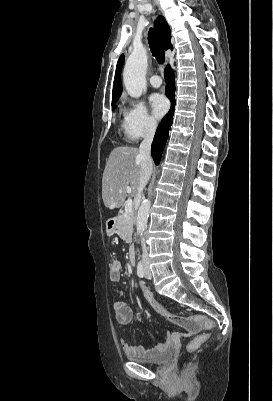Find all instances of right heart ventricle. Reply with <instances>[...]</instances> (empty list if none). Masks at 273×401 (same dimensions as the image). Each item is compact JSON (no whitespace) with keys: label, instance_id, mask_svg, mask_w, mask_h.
<instances>
[{"label":"right heart ventricle","instance_id":"obj_1","mask_svg":"<svg viewBox=\"0 0 273 401\" xmlns=\"http://www.w3.org/2000/svg\"><path fill=\"white\" fill-rule=\"evenodd\" d=\"M120 111H121V112H124V109L121 107V108H120Z\"/></svg>","mask_w":273,"mask_h":401}]
</instances>
